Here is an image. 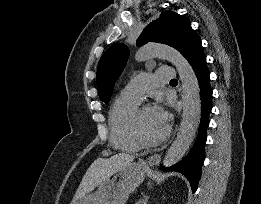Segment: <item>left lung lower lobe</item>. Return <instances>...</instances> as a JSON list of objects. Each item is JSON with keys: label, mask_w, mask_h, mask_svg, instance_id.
<instances>
[{"label": "left lung lower lobe", "mask_w": 261, "mask_h": 204, "mask_svg": "<svg viewBox=\"0 0 261 204\" xmlns=\"http://www.w3.org/2000/svg\"><path fill=\"white\" fill-rule=\"evenodd\" d=\"M183 56L192 66L199 83L201 97V119L199 131L192 150L178 164L165 168L164 171H178L190 181L193 193L196 191L201 176V167L204 161V146L206 143V129L209 125V113L212 109V90L209 80V71L206 56L203 53L201 40L196 34L185 49Z\"/></svg>", "instance_id": "0a47b994"}]
</instances>
